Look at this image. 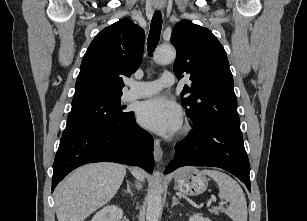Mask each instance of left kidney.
<instances>
[{"label": "left kidney", "mask_w": 307, "mask_h": 221, "mask_svg": "<svg viewBox=\"0 0 307 221\" xmlns=\"http://www.w3.org/2000/svg\"><path fill=\"white\" fill-rule=\"evenodd\" d=\"M188 221H212V220H210L209 218H204L203 216H200L198 214H195L191 216Z\"/></svg>", "instance_id": "1"}]
</instances>
